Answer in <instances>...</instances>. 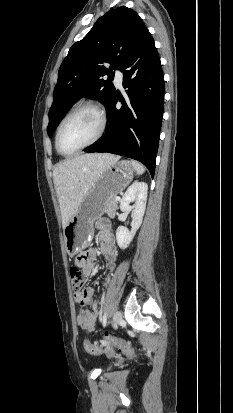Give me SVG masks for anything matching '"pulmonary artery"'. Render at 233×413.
Listing matches in <instances>:
<instances>
[{
    "instance_id": "e3ab8cb5",
    "label": "pulmonary artery",
    "mask_w": 233,
    "mask_h": 413,
    "mask_svg": "<svg viewBox=\"0 0 233 413\" xmlns=\"http://www.w3.org/2000/svg\"><path fill=\"white\" fill-rule=\"evenodd\" d=\"M122 81H123V73L120 70H117L115 73V84L118 87L122 86Z\"/></svg>"
}]
</instances>
